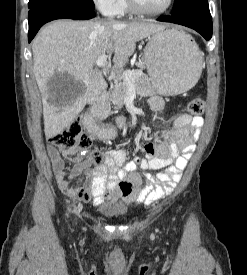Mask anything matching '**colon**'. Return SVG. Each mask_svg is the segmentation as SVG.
Here are the masks:
<instances>
[{
	"label": "colon",
	"instance_id": "obj_1",
	"mask_svg": "<svg viewBox=\"0 0 247 275\" xmlns=\"http://www.w3.org/2000/svg\"><path fill=\"white\" fill-rule=\"evenodd\" d=\"M187 111L192 115H201L204 111L203 100L199 98L191 100L187 105ZM49 142L63 151L65 156L72 161H78L83 158L86 150L91 146V138L84 132L79 120L73 121L64 130L53 135ZM88 160L100 166L104 158L98 150H93ZM130 189L128 184L121 183L119 186V190L123 194L129 193Z\"/></svg>",
	"mask_w": 247,
	"mask_h": 275
}]
</instances>
